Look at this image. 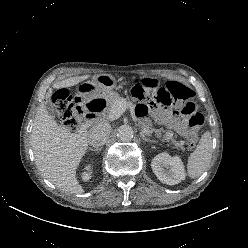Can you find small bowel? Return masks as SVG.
Here are the masks:
<instances>
[{"label":"small bowel","instance_id":"1","mask_svg":"<svg viewBox=\"0 0 248 248\" xmlns=\"http://www.w3.org/2000/svg\"><path fill=\"white\" fill-rule=\"evenodd\" d=\"M150 107L146 103L139 104L137 107V114L145 116L150 112ZM157 119L168 127L175 128L182 135H188L189 128L186 123L180 121L177 116L168 114H155Z\"/></svg>","mask_w":248,"mask_h":248}]
</instances>
